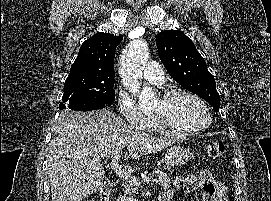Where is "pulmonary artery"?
Here are the masks:
<instances>
[{"instance_id": "pulmonary-artery-1", "label": "pulmonary artery", "mask_w": 271, "mask_h": 201, "mask_svg": "<svg viewBox=\"0 0 271 201\" xmlns=\"http://www.w3.org/2000/svg\"><path fill=\"white\" fill-rule=\"evenodd\" d=\"M143 75L147 81L154 84H162L164 81V72L160 65L154 61L148 62Z\"/></svg>"}]
</instances>
